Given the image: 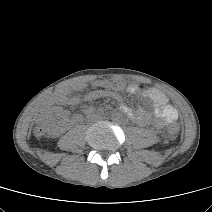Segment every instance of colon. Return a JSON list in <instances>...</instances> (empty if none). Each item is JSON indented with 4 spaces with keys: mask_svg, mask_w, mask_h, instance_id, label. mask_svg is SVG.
<instances>
[{
    "mask_svg": "<svg viewBox=\"0 0 212 212\" xmlns=\"http://www.w3.org/2000/svg\"><path fill=\"white\" fill-rule=\"evenodd\" d=\"M53 130V125L49 120H41L36 123V125L33 128V133L37 137H42ZM179 131V127L176 124H172L169 126L168 133L171 137H174L177 135Z\"/></svg>",
    "mask_w": 212,
    "mask_h": 212,
    "instance_id": "5ec220e1",
    "label": "colon"
}]
</instances>
